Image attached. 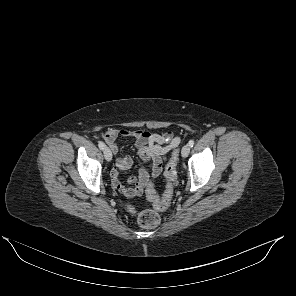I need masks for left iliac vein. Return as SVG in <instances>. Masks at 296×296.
<instances>
[{"mask_svg":"<svg viewBox=\"0 0 296 296\" xmlns=\"http://www.w3.org/2000/svg\"><path fill=\"white\" fill-rule=\"evenodd\" d=\"M189 152H190V146L188 144L184 145L181 151L182 157L184 158L187 157L189 155Z\"/></svg>","mask_w":296,"mask_h":296,"instance_id":"4c4485c4","label":"left iliac vein"}]
</instances>
